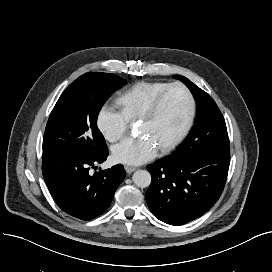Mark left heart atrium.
I'll list each match as a JSON object with an SVG mask.
<instances>
[{"label":"left heart atrium","mask_w":272,"mask_h":272,"mask_svg":"<svg viewBox=\"0 0 272 272\" xmlns=\"http://www.w3.org/2000/svg\"><path fill=\"white\" fill-rule=\"evenodd\" d=\"M157 152L153 141L143 135L128 137L113 148V157L117 162L128 165H140L152 159Z\"/></svg>","instance_id":"1"}]
</instances>
